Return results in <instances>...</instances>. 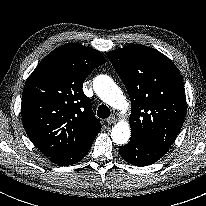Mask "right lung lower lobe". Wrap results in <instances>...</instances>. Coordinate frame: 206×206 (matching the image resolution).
Instances as JSON below:
<instances>
[{
    "label": "right lung lower lobe",
    "mask_w": 206,
    "mask_h": 206,
    "mask_svg": "<svg viewBox=\"0 0 206 206\" xmlns=\"http://www.w3.org/2000/svg\"><path fill=\"white\" fill-rule=\"evenodd\" d=\"M94 139L95 137L85 142L83 145L79 146L78 148L72 151H69L67 153H64L62 155L52 157L50 158V160L53 163L62 165V166L74 164L86 156V154L88 153V151L90 150L92 146Z\"/></svg>",
    "instance_id": "98d812e1"
}]
</instances>
